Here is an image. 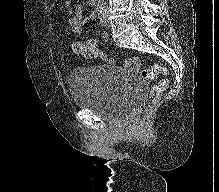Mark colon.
Returning <instances> with one entry per match:
<instances>
[{
  "mask_svg": "<svg viewBox=\"0 0 219 192\" xmlns=\"http://www.w3.org/2000/svg\"><path fill=\"white\" fill-rule=\"evenodd\" d=\"M73 51L85 58L93 59L101 57L103 60L109 63L113 62V60L108 55L103 54L100 51L97 41L94 39H90L85 42H76L73 46ZM131 62L132 61L127 60L124 62V65H129ZM160 74L164 75V77L158 83L153 85L151 89L146 108L147 114H150L155 109L161 96L167 90L169 86V79L167 77L166 69L159 64H155L149 68L141 70V77L145 80H152Z\"/></svg>",
  "mask_w": 219,
  "mask_h": 192,
  "instance_id": "1",
  "label": "colon"
}]
</instances>
